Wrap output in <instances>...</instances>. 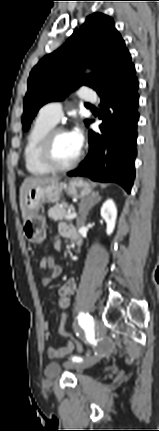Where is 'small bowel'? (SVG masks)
<instances>
[{"label":"small bowel","instance_id":"small-bowel-1","mask_svg":"<svg viewBox=\"0 0 159 431\" xmlns=\"http://www.w3.org/2000/svg\"><path fill=\"white\" fill-rule=\"evenodd\" d=\"M61 235L66 236V237H71L73 230L69 225L63 224L60 226L59 228ZM56 246L58 248H60V243L57 242ZM55 262V261H54ZM46 258H43L40 261V269L41 270H46ZM55 267L56 270L55 272L51 273L49 277H46L43 279V284L44 285H49L51 283V281L55 278H57L61 273H62V266L57 264L55 262ZM76 290V283L75 280L73 278L68 279L63 285H61L58 289V294H59V299H58V306L61 309H66L67 307H69L71 299L75 293ZM42 328L44 330V336L45 339H48L50 337V333H49V323L48 321H43L42 322ZM68 338V337H66ZM74 350H77V348L75 347V343H71L70 339H68L67 343L60 347V348H56L54 346H50L47 348V355L50 358H63L69 354H71Z\"/></svg>","mask_w":159,"mask_h":431}]
</instances>
